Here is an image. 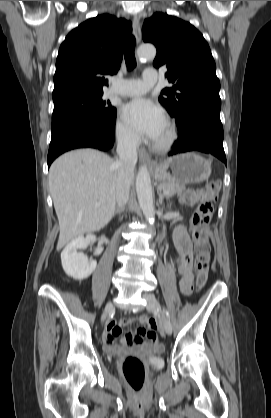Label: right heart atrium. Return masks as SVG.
Listing matches in <instances>:
<instances>
[{
  "instance_id": "1",
  "label": "right heart atrium",
  "mask_w": 271,
  "mask_h": 418,
  "mask_svg": "<svg viewBox=\"0 0 271 418\" xmlns=\"http://www.w3.org/2000/svg\"><path fill=\"white\" fill-rule=\"evenodd\" d=\"M115 137L118 145L127 151L137 149L140 141L137 133L132 130L121 117H119L115 123Z\"/></svg>"
}]
</instances>
